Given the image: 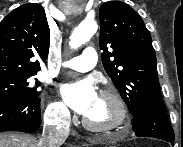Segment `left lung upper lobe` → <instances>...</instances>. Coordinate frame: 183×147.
<instances>
[{"mask_svg": "<svg viewBox=\"0 0 183 147\" xmlns=\"http://www.w3.org/2000/svg\"><path fill=\"white\" fill-rule=\"evenodd\" d=\"M99 15L103 66L130 113L165 110L151 35L140 15L120 1L104 3Z\"/></svg>", "mask_w": 183, "mask_h": 147, "instance_id": "1", "label": "left lung upper lobe"}]
</instances>
